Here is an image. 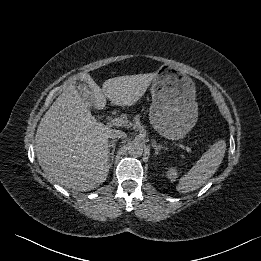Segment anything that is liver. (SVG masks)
<instances>
[{"instance_id":"obj_1","label":"liver","mask_w":261,"mask_h":261,"mask_svg":"<svg viewBox=\"0 0 261 261\" xmlns=\"http://www.w3.org/2000/svg\"><path fill=\"white\" fill-rule=\"evenodd\" d=\"M156 73L110 78L100 88L87 73L74 77L42 117L35 136L37 160L49 181L74 191L100 186L109 173L108 138L111 131L92 116L76 89L77 79L87 83L96 109L106 99L119 106L135 104Z\"/></svg>"}]
</instances>
